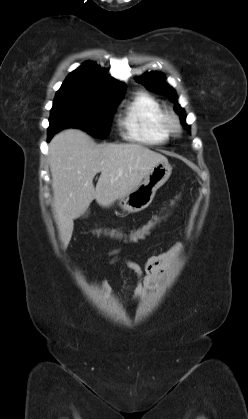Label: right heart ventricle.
<instances>
[{
  "label": "right heart ventricle",
  "instance_id": "1",
  "mask_svg": "<svg viewBox=\"0 0 248 419\" xmlns=\"http://www.w3.org/2000/svg\"><path fill=\"white\" fill-rule=\"evenodd\" d=\"M164 108L151 94L137 93L126 105L121 119L125 136L146 144H163L169 134L163 125Z\"/></svg>",
  "mask_w": 248,
  "mask_h": 419
}]
</instances>
